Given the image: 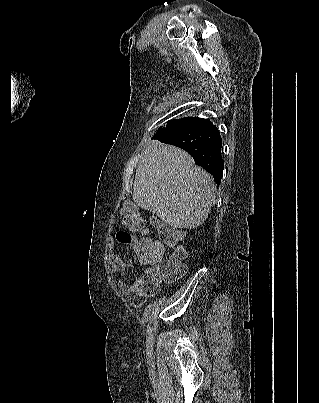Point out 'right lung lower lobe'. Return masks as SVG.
Instances as JSON below:
<instances>
[{"instance_id": "obj_1", "label": "right lung lower lobe", "mask_w": 319, "mask_h": 403, "mask_svg": "<svg viewBox=\"0 0 319 403\" xmlns=\"http://www.w3.org/2000/svg\"><path fill=\"white\" fill-rule=\"evenodd\" d=\"M166 144L186 150L195 163L210 173L219 185L224 162L221 155L222 138L209 120L199 119L187 126L163 129L153 136Z\"/></svg>"}]
</instances>
